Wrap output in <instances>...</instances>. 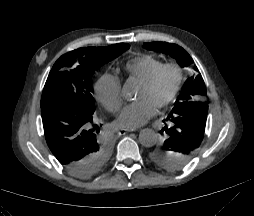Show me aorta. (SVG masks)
Masks as SVG:
<instances>
[{"label":"aorta","instance_id":"obj_1","mask_svg":"<svg viewBox=\"0 0 254 216\" xmlns=\"http://www.w3.org/2000/svg\"><path fill=\"white\" fill-rule=\"evenodd\" d=\"M158 136L154 130L146 128L140 131L139 142L145 147H152L157 142Z\"/></svg>","mask_w":254,"mask_h":216}]
</instances>
